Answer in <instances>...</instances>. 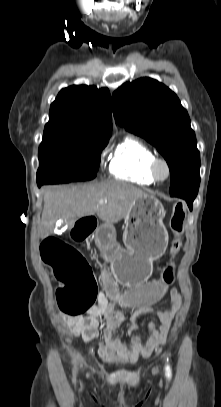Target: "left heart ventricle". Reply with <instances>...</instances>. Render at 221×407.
<instances>
[{
  "label": "left heart ventricle",
  "mask_w": 221,
  "mask_h": 407,
  "mask_svg": "<svg viewBox=\"0 0 221 407\" xmlns=\"http://www.w3.org/2000/svg\"><path fill=\"white\" fill-rule=\"evenodd\" d=\"M160 174H161V175H164V174H165V170H164L163 167L160 168Z\"/></svg>",
  "instance_id": "obj_1"
}]
</instances>
